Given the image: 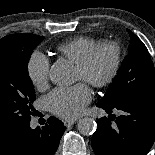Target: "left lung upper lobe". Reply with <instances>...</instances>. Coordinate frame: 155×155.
<instances>
[{
    "mask_svg": "<svg viewBox=\"0 0 155 155\" xmlns=\"http://www.w3.org/2000/svg\"><path fill=\"white\" fill-rule=\"evenodd\" d=\"M129 53L114 78L106 95L104 104H113L139 90L155 88V68L143 42L130 30Z\"/></svg>",
    "mask_w": 155,
    "mask_h": 155,
    "instance_id": "5c2ea615",
    "label": "left lung upper lobe"
}]
</instances>
